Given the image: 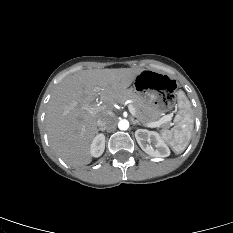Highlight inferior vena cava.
<instances>
[{"label":"inferior vena cava","instance_id":"1","mask_svg":"<svg viewBox=\"0 0 233 233\" xmlns=\"http://www.w3.org/2000/svg\"><path fill=\"white\" fill-rule=\"evenodd\" d=\"M113 122V116L111 115H105L98 119L97 125L101 128L106 127L107 125L111 124Z\"/></svg>","mask_w":233,"mask_h":233}]
</instances>
